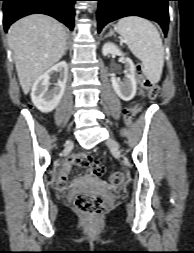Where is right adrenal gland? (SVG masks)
I'll return each instance as SVG.
<instances>
[{
	"mask_svg": "<svg viewBox=\"0 0 194 253\" xmlns=\"http://www.w3.org/2000/svg\"><path fill=\"white\" fill-rule=\"evenodd\" d=\"M69 47H70V43L68 41L67 44H66L65 52L69 49Z\"/></svg>",
	"mask_w": 194,
	"mask_h": 253,
	"instance_id": "2a0ac1e0",
	"label": "right adrenal gland"
}]
</instances>
